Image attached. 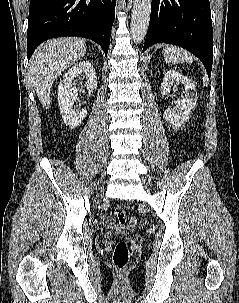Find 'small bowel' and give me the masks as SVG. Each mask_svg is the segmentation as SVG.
<instances>
[{"instance_id":"1","label":"small bowel","mask_w":239,"mask_h":303,"mask_svg":"<svg viewBox=\"0 0 239 303\" xmlns=\"http://www.w3.org/2000/svg\"><path fill=\"white\" fill-rule=\"evenodd\" d=\"M103 223L109 229H117L118 228V226L114 222V220L109 218V217L104 218ZM135 225H136V219L133 218L130 222V227H134Z\"/></svg>"}]
</instances>
